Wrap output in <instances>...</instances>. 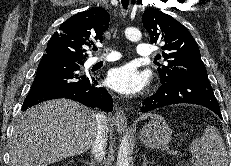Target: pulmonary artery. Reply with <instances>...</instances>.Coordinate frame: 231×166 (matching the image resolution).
I'll return each mask as SVG.
<instances>
[{
    "mask_svg": "<svg viewBox=\"0 0 231 166\" xmlns=\"http://www.w3.org/2000/svg\"><path fill=\"white\" fill-rule=\"evenodd\" d=\"M107 50L110 51V53L106 57H94L90 63H96L99 61H106L111 62L119 59V54L112 50L111 48L107 47ZM154 48L150 44L140 43L137 45L136 52L141 57H151L153 55Z\"/></svg>",
    "mask_w": 231,
    "mask_h": 166,
    "instance_id": "1",
    "label": "pulmonary artery"
}]
</instances>
